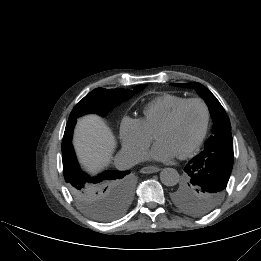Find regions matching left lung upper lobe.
<instances>
[{"label": "left lung upper lobe", "instance_id": "1", "mask_svg": "<svg viewBox=\"0 0 261 261\" xmlns=\"http://www.w3.org/2000/svg\"><path fill=\"white\" fill-rule=\"evenodd\" d=\"M194 88L208 105L213 120L212 135L205 149L187 165L198 171L187 174L183 183L173 192L175 205L187 214L203 216L222 200L233 167V141L229 118L217 98L200 83H172ZM185 170V169H184Z\"/></svg>", "mask_w": 261, "mask_h": 261}]
</instances>
